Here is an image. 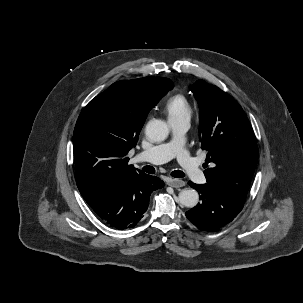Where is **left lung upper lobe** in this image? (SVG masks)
Wrapping results in <instances>:
<instances>
[{
    "label": "left lung upper lobe",
    "mask_w": 303,
    "mask_h": 303,
    "mask_svg": "<svg viewBox=\"0 0 303 303\" xmlns=\"http://www.w3.org/2000/svg\"><path fill=\"white\" fill-rule=\"evenodd\" d=\"M192 92L200 108L201 148L211 163L204 171L207 183L245 201L259 155L251 124L238 102L217 86L198 80Z\"/></svg>",
    "instance_id": "5c2ea615"
}]
</instances>
